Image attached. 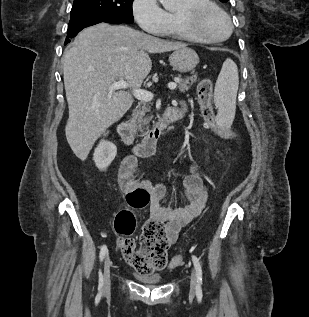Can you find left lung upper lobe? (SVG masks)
Returning <instances> with one entry per match:
<instances>
[{
  "label": "left lung upper lobe",
  "instance_id": "1",
  "mask_svg": "<svg viewBox=\"0 0 309 317\" xmlns=\"http://www.w3.org/2000/svg\"><path fill=\"white\" fill-rule=\"evenodd\" d=\"M221 2H227V1H229V0H220Z\"/></svg>",
  "mask_w": 309,
  "mask_h": 317
}]
</instances>
